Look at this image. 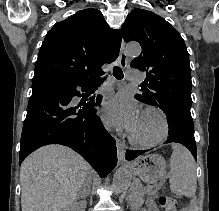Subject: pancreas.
Returning <instances> with one entry per match:
<instances>
[{
  "instance_id": "cf45deb5",
  "label": "pancreas",
  "mask_w": 219,
  "mask_h": 211,
  "mask_svg": "<svg viewBox=\"0 0 219 211\" xmlns=\"http://www.w3.org/2000/svg\"><path fill=\"white\" fill-rule=\"evenodd\" d=\"M132 188L134 189V195H128V200H132V203H141L142 200H145V193H149V195L155 193L152 187L132 186ZM133 210L136 211L137 209L134 208Z\"/></svg>"
}]
</instances>
